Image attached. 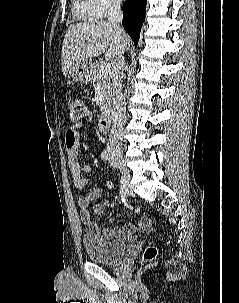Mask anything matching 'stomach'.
I'll use <instances>...</instances> for the list:
<instances>
[{"label":"stomach","instance_id":"1","mask_svg":"<svg viewBox=\"0 0 239 303\" xmlns=\"http://www.w3.org/2000/svg\"><path fill=\"white\" fill-rule=\"evenodd\" d=\"M68 71L69 76L75 81L81 83H88L90 81V72L86 61L73 64Z\"/></svg>","mask_w":239,"mask_h":303}]
</instances>
